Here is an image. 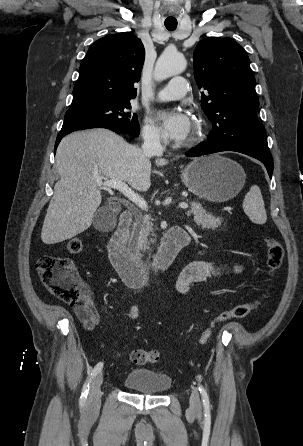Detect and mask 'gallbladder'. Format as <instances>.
<instances>
[{
	"label": "gallbladder",
	"instance_id": "bac80fb5",
	"mask_svg": "<svg viewBox=\"0 0 303 446\" xmlns=\"http://www.w3.org/2000/svg\"><path fill=\"white\" fill-rule=\"evenodd\" d=\"M114 222H115L114 215L109 213L108 211L106 212L105 210L100 209L94 214L93 218L94 227L99 230L104 231L110 228Z\"/></svg>",
	"mask_w": 303,
	"mask_h": 446
}]
</instances>
